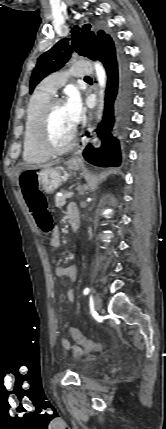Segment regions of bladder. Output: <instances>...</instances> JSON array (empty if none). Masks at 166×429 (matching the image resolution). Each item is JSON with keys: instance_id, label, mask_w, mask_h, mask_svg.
<instances>
[{"instance_id": "obj_1", "label": "bladder", "mask_w": 166, "mask_h": 429, "mask_svg": "<svg viewBox=\"0 0 166 429\" xmlns=\"http://www.w3.org/2000/svg\"><path fill=\"white\" fill-rule=\"evenodd\" d=\"M92 365L91 364H87L86 365V368H90Z\"/></svg>"}]
</instances>
